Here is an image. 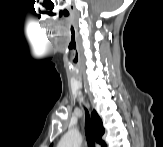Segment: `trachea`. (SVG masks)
Wrapping results in <instances>:
<instances>
[{
    "mask_svg": "<svg viewBox=\"0 0 163 147\" xmlns=\"http://www.w3.org/2000/svg\"><path fill=\"white\" fill-rule=\"evenodd\" d=\"M85 113H86V117H85L86 140H87L89 147H95V140L93 137V131H92V127H91L90 117H89V113H88L87 109H86Z\"/></svg>",
    "mask_w": 163,
    "mask_h": 147,
    "instance_id": "1",
    "label": "trachea"
}]
</instances>
